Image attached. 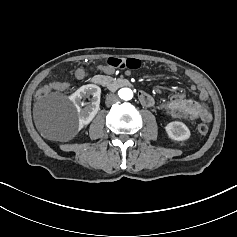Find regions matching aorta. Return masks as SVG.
<instances>
[{
  "label": "aorta",
  "mask_w": 237,
  "mask_h": 237,
  "mask_svg": "<svg viewBox=\"0 0 237 237\" xmlns=\"http://www.w3.org/2000/svg\"><path fill=\"white\" fill-rule=\"evenodd\" d=\"M119 96H120V98H122L123 100L128 101V100H131V99L133 98L134 93H133V91H132L131 88L125 87V88L120 89V91H119Z\"/></svg>",
  "instance_id": "obj_1"
}]
</instances>
